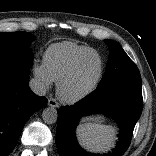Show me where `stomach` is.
Returning a JSON list of instances; mask_svg holds the SVG:
<instances>
[{
    "instance_id": "obj_1",
    "label": "stomach",
    "mask_w": 156,
    "mask_h": 156,
    "mask_svg": "<svg viewBox=\"0 0 156 156\" xmlns=\"http://www.w3.org/2000/svg\"><path fill=\"white\" fill-rule=\"evenodd\" d=\"M96 121H97V122H99L100 120H99V119H97Z\"/></svg>"
}]
</instances>
